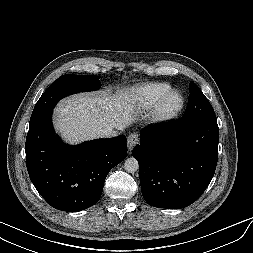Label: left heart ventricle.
I'll use <instances>...</instances> for the list:
<instances>
[{
	"instance_id": "obj_1",
	"label": "left heart ventricle",
	"mask_w": 253,
	"mask_h": 253,
	"mask_svg": "<svg viewBox=\"0 0 253 253\" xmlns=\"http://www.w3.org/2000/svg\"><path fill=\"white\" fill-rule=\"evenodd\" d=\"M178 103H179V98L177 96H173L169 99V101L167 103V107L174 108L178 105Z\"/></svg>"
}]
</instances>
